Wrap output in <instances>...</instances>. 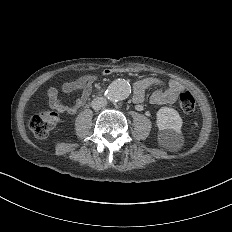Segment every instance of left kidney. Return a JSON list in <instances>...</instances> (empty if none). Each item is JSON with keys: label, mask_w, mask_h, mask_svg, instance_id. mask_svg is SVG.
I'll return each mask as SVG.
<instances>
[{"label": "left kidney", "mask_w": 232, "mask_h": 232, "mask_svg": "<svg viewBox=\"0 0 232 232\" xmlns=\"http://www.w3.org/2000/svg\"><path fill=\"white\" fill-rule=\"evenodd\" d=\"M157 123L161 130V135L164 133H174L179 135L181 128V119L177 111L172 108H162L157 114Z\"/></svg>", "instance_id": "5707ae66"}]
</instances>
